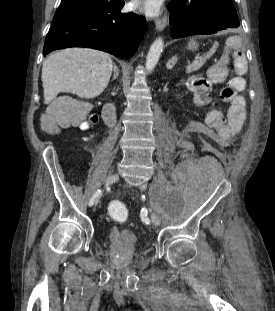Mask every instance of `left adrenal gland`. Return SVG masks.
<instances>
[{
  "mask_svg": "<svg viewBox=\"0 0 275 311\" xmlns=\"http://www.w3.org/2000/svg\"><path fill=\"white\" fill-rule=\"evenodd\" d=\"M177 60H178V58L176 56H173L172 58H170L167 61L166 67L167 68H172V66H174L176 64Z\"/></svg>",
  "mask_w": 275,
  "mask_h": 311,
  "instance_id": "obj_1",
  "label": "left adrenal gland"
}]
</instances>
